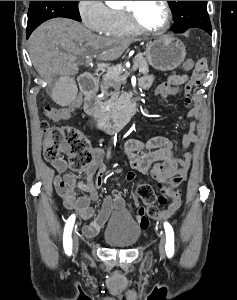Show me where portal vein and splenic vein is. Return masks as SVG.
<instances>
[{
    "label": "portal vein and splenic vein",
    "instance_id": "18ae733b",
    "mask_svg": "<svg viewBox=\"0 0 237 300\" xmlns=\"http://www.w3.org/2000/svg\"><path fill=\"white\" fill-rule=\"evenodd\" d=\"M136 65H137V62L135 61L134 62V66H132V71H127V72H132V73H136ZM123 76H130V73H123ZM126 77H120V80L121 81H125Z\"/></svg>",
    "mask_w": 237,
    "mask_h": 300
}]
</instances>
